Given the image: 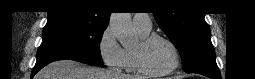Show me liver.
Instances as JSON below:
<instances>
[{
	"label": "liver",
	"instance_id": "1",
	"mask_svg": "<svg viewBox=\"0 0 255 79\" xmlns=\"http://www.w3.org/2000/svg\"><path fill=\"white\" fill-rule=\"evenodd\" d=\"M35 79H140L112 70L86 66L73 60L53 62L37 73Z\"/></svg>",
	"mask_w": 255,
	"mask_h": 79
}]
</instances>
